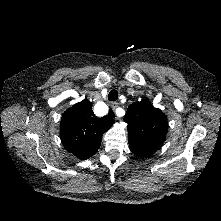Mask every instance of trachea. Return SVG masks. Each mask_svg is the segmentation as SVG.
I'll use <instances>...</instances> for the list:
<instances>
[{
  "label": "trachea",
  "mask_w": 221,
  "mask_h": 221,
  "mask_svg": "<svg viewBox=\"0 0 221 221\" xmlns=\"http://www.w3.org/2000/svg\"><path fill=\"white\" fill-rule=\"evenodd\" d=\"M118 96V92L115 89H113L108 94V100L112 102L116 101L118 99Z\"/></svg>",
  "instance_id": "trachea-1"
}]
</instances>
